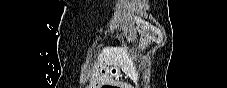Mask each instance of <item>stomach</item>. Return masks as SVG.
<instances>
[{"instance_id": "obj_1", "label": "stomach", "mask_w": 227, "mask_h": 88, "mask_svg": "<svg viewBox=\"0 0 227 88\" xmlns=\"http://www.w3.org/2000/svg\"><path fill=\"white\" fill-rule=\"evenodd\" d=\"M107 71L110 77H116L119 75V69L116 65H111Z\"/></svg>"}]
</instances>
